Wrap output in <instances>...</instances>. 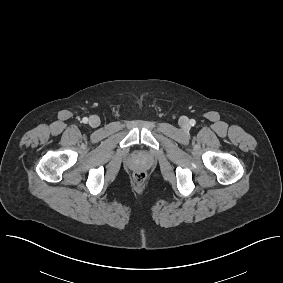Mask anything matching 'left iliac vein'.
Segmentation results:
<instances>
[{
	"instance_id": "obj_1",
	"label": "left iliac vein",
	"mask_w": 283,
	"mask_h": 283,
	"mask_svg": "<svg viewBox=\"0 0 283 283\" xmlns=\"http://www.w3.org/2000/svg\"><path fill=\"white\" fill-rule=\"evenodd\" d=\"M180 125H181L183 128L188 127V125H189L188 119H187L186 117H182V118L180 119Z\"/></svg>"
}]
</instances>
